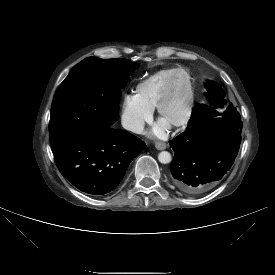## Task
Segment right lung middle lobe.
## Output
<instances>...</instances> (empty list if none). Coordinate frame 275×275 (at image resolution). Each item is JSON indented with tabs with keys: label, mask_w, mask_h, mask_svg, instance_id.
Segmentation results:
<instances>
[{
	"label": "right lung middle lobe",
	"mask_w": 275,
	"mask_h": 275,
	"mask_svg": "<svg viewBox=\"0 0 275 275\" xmlns=\"http://www.w3.org/2000/svg\"><path fill=\"white\" fill-rule=\"evenodd\" d=\"M137 68L127 59L89 57L75 65L57 88L50 139L76 130L111 126L118 117L121 83Z\"/></svg>",
	"instance_id": "1"
}]
</instances>
